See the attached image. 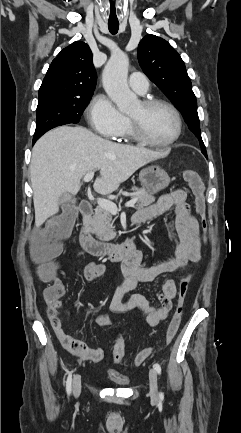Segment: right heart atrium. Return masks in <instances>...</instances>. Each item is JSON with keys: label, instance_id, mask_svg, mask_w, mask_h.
Here are the masks:
<instances>
[{"label": "right heart atrium", "instance_id": "obj_1", "mask_svg": "<svg viewBox=\"0 0 241 433\" xmlns=\"http://www.w3.org/2000/svg\"><path fill=\"white\" fill-rule=\"evenodd\" d=\"M91 127L103 136L115 138L127 124V118L107 97L93 98L88 108Z\"/></svg>", "mask_w": 241, "mask_h": 433}]
</instances>
